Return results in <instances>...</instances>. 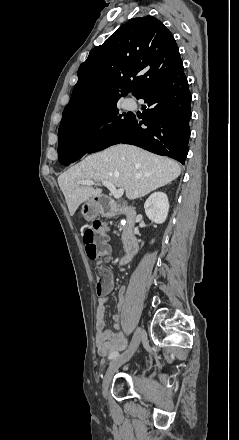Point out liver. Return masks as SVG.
<instances>
[{"mask_svg": "<svg viewBox=\"0 0 239 440\" xmlns=\"http://www.w3.org/2000/svg\"><path fill=\"white\" fill-rule=\"evenodd\" d=\"M180 174L181 168L175 160L155 156L136 146L118 144L87 156L80 164L61 174L58 184L70 216H74L80 204L102 196V190L80 186V180L110 182L116 188H124L128 200H136L170 184Z\"/></svg>", "mask_w": 239, "mask_h": 440, "instance_id": "liver-1", "label": "liver"}]
</instances>
